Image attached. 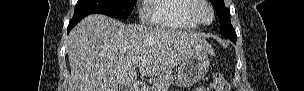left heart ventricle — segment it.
I'll return each mask as SVG.
<instances>
[{"label": "left heart ventricle", "mask_w": 304, "mask_h": 91, "mask_svg": "<svg viewBox=\"0 0 304 91\" xmlns=\"http://www.w3.org/2000/svg\"><path fill=\"white\" fill-rule=\"evenodd\" d=\"M201 15H202V18H203L204 20H208V19L210 18V14H209V12H208L207 10H203V11L201 12Z\"/></svg>", "instance_id": "1"}]
</instances>
